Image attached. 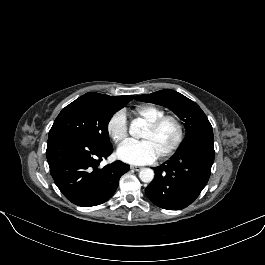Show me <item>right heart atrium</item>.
<instances>
[{
	"mask_svg": "<svg viewBox=\"0 0 265 265\" xmlns=\"http://www.w3.org/2000/svg\"><path fill=\"white\" fill-rule=\"evenodd\" d=\"M106 130L116 143H122L127 139L128 125L124 111L119 110L111 115L107 121Z\"/></svg>",
	"mask_w": 265,
	"mask_h": 265,
	"instance_id": "right-heart-atrium-1",
	"label": "right heart atrium"
}]
</instances>
